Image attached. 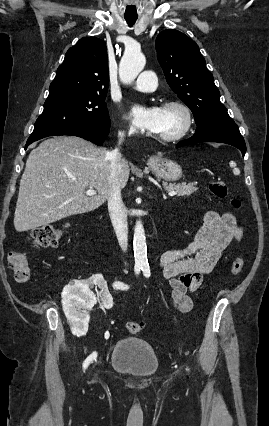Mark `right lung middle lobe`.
Segmentation results:
<instances>
[{"label":"right lung middle lobe","mask_w":269,"mask_h":426,"mask_svg":"<svg viewBox=\"0 0 269 426\" xmlns=\"http://www.w3.org/2000/svg\"><path fill=\"white\" fill-rule=\"evenodd\" d=\"M106 94L69 90L49 93L43 113L36 120L29 140L81 125L109 126L111 122L105 103Z\"/></svg>","instance_id":"1"}]
</instances>
